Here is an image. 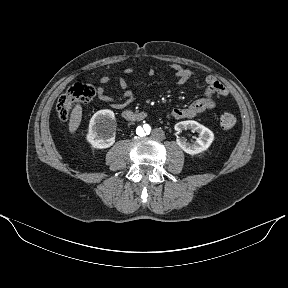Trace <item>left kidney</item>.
Masks as SVG:
<instances>
[{
  "label": "left kidney",
  "instance_id": "left-kidney-1",
  "mask_svg": "<svg viewBox=\"0 0 288 288\" xmlns=\"http://www.w3.org/2000/svg\"><path fill=\"white\" fill-rule=\"evenodd\" d=\"M174 129L178 133L182 132L183 130H191L192 132L199 133V137L193 143L187 142L184 138L177 137L176 141L178 146L184 152L191 155L205 151L214 140V134L210 129L193 120L178 122L175 124Z\"/></svg>",
  "mask_w": 288,
  "mask_h": 288
}]
</instances>
